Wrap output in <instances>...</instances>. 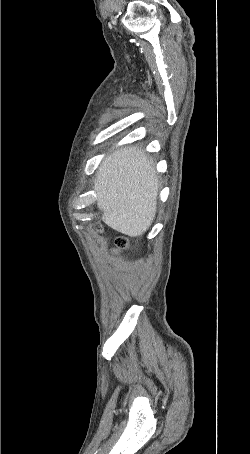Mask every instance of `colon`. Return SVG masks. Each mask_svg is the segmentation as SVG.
<instances>
[{
	"mask_svg": "<svg viewBox=\"0 0 250 454\" xmlns=\"http://www.w3.org/2000/svg\"><path fill=\"white\" fill-rule=\"evenodd\" d=\"M128 247V241L125 238H118L115 241V248L117 251L125 250Z\"/></svg>",
	"mask_w": 250,
	"mask_h": 454,
	"instance_id": "colon-1",
	"label": "colon"
}]
</instances>
